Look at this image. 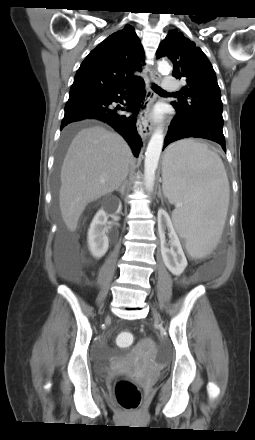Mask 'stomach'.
<instances>
[{
    "instance_id": "obj_1",
    "label": "stomach",
    "mask_w": 255,
    "mask_h": 440,
    "mask_svg": "<svg viewBox=\"0 0 255 440\" xmlns=\"http://www.w3.org/2000/svg\"><path fill=\"white\" fill-rule=\"evenodd\" d=\"M169 157H170V151L168 150L167 152H166V154H165V156H164V161H163V164L166 166V164L168 163V161H169Z\"/></svg>"
}]
</instances>
